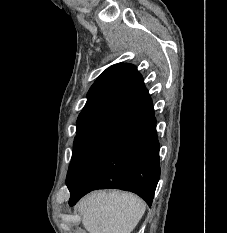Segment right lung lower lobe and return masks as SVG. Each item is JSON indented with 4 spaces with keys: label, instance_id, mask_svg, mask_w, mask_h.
Returning a JSON list of instances; mask_svg holds the SVG:
<instances>
[{
    "label": "right lung lower lobe",
    "instance_id": "1",
    "mask_svg": "<svg viewBox=\"0 0 227 233\" xmlns=\"http://www.w3.org/2000/svg\"><path fill=\"white\" fill-rule=\"evenodd\" d=\"M159 177V142L153 116L118 136L102 151L69 189V205L92 190L117 188L136 193L151 206Z\"/></svg>",
    "mask_w": 227,
    "mask_h": 233
}]
</instances>
